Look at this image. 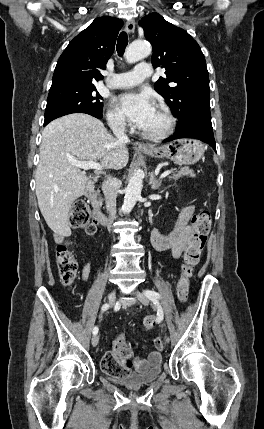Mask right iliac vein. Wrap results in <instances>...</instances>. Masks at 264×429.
<instances>
[{
	"mask_svg": "<svg viewBox=\"0 0 264 429\" xmlns=\"http://www.w3.org/2000/svg\"><path fill=\"white\" fill-rule=\"evenodd\" d=\"M115 298H116V291L115 290H113L110 294H109V297H108V303H109V305H112L114 302H115ZM92 345L95 347V346H97V344H98V342H99V335L98 334H95L93 337H92Z\"/></svg>",
	"mask_w": 264,
	"mask_h": 429,
	"instance_id": "right-iliac-vein-1",
	"label": "right iliac vein"
}]
</instances>
